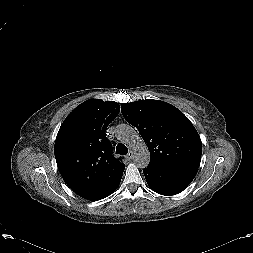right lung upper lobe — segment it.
I'll return each instance as SVG.
<instances>
[{"label":"right lung upper lobe","instance_id":"obj_1","mask_svg":"<svg viewBox=\"0 0 253 253\" xmlns=\"http://www.w3.org/2000/svg\"><path fill=\"white\" fill-rule=\"evenodd\" d=\"M120 111L118 103L90 99L64 120L55 141V158L67 185L93 199L122 178L125 165L112 155L107 126Z\"/></svg>","mask_w":253,"mask_h":253}]
</instances>
